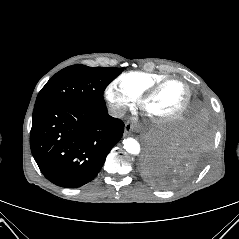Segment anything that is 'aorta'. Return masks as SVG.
I'll return each mask as SVG.
<instances>
[{
  "label": "aorta",
  "mask_w": 239,
  "mask_h": 239,
  "mask_svg": "<svg viewBox=\"0 0 239 239\" xmlns=\"http://www.w3.org/2000/svg\"><path fill=\"white\" fill-rule=\"evenodd\" d=\"M123 148L132 155H138L140 153V144L132 137L123 140Z\"/></svg>",
  "instance_id": "obj_1"
}]
</instances>
